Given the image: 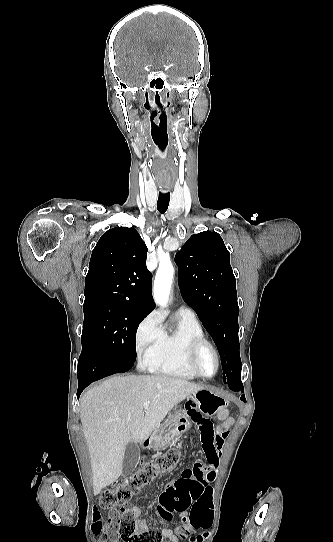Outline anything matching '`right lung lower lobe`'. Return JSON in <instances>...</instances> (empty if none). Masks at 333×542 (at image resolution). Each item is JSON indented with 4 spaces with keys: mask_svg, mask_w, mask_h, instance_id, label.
Here are the masks:
<instances>
[{
    "mask_svg": "<svg viewBox=\"0 0 333 542\" xmlns=\"http://www.w3.org/2000/svg\"><path fill=\"white\" fill-rule=\"evenodd\" d=\"M131 368L110 359L100 351H94L91 359L79 358L77 397L79 398L81 392L92 382L115 373L126 372Z\"/></svg>",
    "mask_w": 333,
    "mask_h": 542,
    "instance_id": "1",
    "label": "right lung lower lobe"
}]
</instances>
